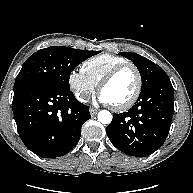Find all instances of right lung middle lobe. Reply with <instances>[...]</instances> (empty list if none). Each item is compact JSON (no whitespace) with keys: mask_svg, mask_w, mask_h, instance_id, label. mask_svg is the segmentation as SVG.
<instances>
[{"mask_svg":"<svg viewBox=\"0 0 193 193\" xmlns=\"http://www.w3.org/2000/svg\"><path fill=\"white\" fill-rule=\"evenodd\" d=\"M99 52L63 46L41 49L23 64L16 77L14 90L34 83H46L70 90L69 77L72 70Z\"/></svg>","mask_w":193,"mask_h":193,"instance_id":"obj_1","label":"right lung middle lobe"}]
</instances>
